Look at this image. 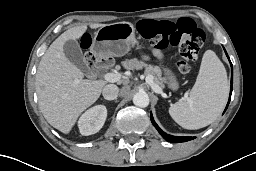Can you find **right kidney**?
<instances>
[{
    "mask_svg": "<svg viewBox=\"0 0 256 171\" xmlns=\"http://www.w3.org/2000/svg\"><path fill=\"white\" fill-rule=\"evenodd\" d=\"M107 117V109L104 105H97L88 109L79 118L78 127L80 133L89 136L97 133L104 125Z\"/></svg>",
    "mask_w": 256,
    "mask_h": 171,
    "instance_id": "ca27d5eb",
    "label": "right kidney"
}]
</instances>
